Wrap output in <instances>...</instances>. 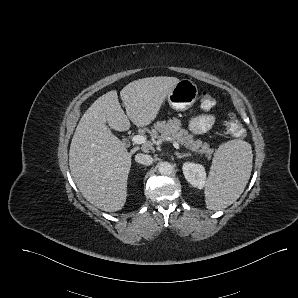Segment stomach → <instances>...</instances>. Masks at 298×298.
<instances>
[{"label":"stomach","instance_id":"stomach-1","mask_svg":"<svg viewBox=\"0 0 298 298\" xmlns=\"http://www.w3.org/2000/svg\"><path fill=\"white\" fill-rule=\"evenodd\" d=\"M198 87L190 79H181L167 95L171 109L183 112L190 109L198 99Z\"/></svg>","mask_w":298,"mask_h":298}]
</instances>
